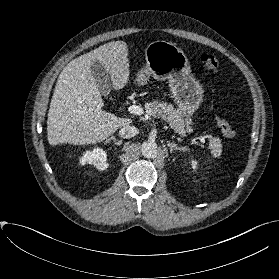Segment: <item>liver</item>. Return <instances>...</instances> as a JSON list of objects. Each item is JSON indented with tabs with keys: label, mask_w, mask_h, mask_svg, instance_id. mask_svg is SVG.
Listing matches in <instances>:
<instances>
[{
	"label": "liver",
	"mask_w": 279,
	"mask_h": 279,
	"mask_svg": "<svg viewBox=\"0 0 279 279\" xmlns=\"http://www.w3.org/2000/svg\"><path fill=\"white\" fill-rule=\"evenodd\" d=\"M99 61L111 76L112 87L120 90L128 83V45L124 41L106 43L70 61L58 77L47 119L50 145L95 144L120 127L132 123L102 109L104 103L94 78L92 64Z\"/></svg>",
	"instance_id": "1"
}]
</instances>
